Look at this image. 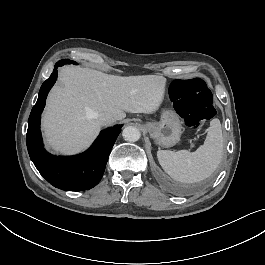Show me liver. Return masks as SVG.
Segmentation results:
<instances>
[{
  "instance_id": "liver-1",
  "label": "liver",
  "mask_w": 265,
  "mask_h": 265,
  "mask_svg": "<svg viewBox=\"0 0 265 265\" xmlns=\"http://www.w3.org/2000/svg\"><path fill=\"white\" fill-rule=\"evenodd\" d=\"M167 79L161 76H110L81 67L63 68L47 100L43 118L48 142L71 153L86 147L98 133V118L115 120L126 112L154 114L164 101Z\"/></svg>"
}]
</instances>
